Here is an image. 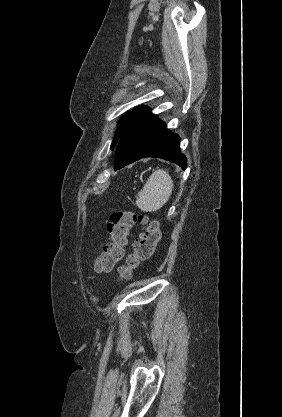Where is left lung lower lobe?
<instances>
[{"label": "left lung lower lobe", "instance_id": "1", "mask_svg": "<svg viewBox=\"0 0 282 417\" xmlns=\"http://www.w3.org/2000/svg\"><path fill=\"white\" fill-rule=\"evenodd\" d=\"M180 137L167 129L146 107L134 109L124 123L116 146L114 170L145 157L169 160L184 170L186 157L179 148Z\"/></svg>", "mask_w": 282, "mask_h": 417}]
</instances>
